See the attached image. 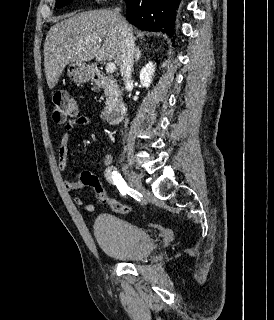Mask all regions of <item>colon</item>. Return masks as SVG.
Listing matches in <instances>:
<instances>
[{"instance_id":"1","label":"colon","mask_w":274,"mask_h":320,"mask_svg":"<svg viewBox=\"0 0 274 320\" xmlns=\"http://www.w3.org/2000/svg\"><path fill=\"white\" fill-rule=\"evenodd\" d=\"M52 118L57 123H67L71 126V121L77 116V103L72 99L65 89L57 90L52 94ZM79 181L82 186H90L94 192L99 193V201L106 204L113 212L117 214H126L130 211L126 204L115 201L104 192L102 182L98 181L97 175H91V169H80Z\"/></svg>"}]
</instances>
